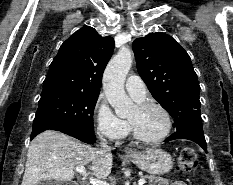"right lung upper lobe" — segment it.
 <instances>
[{
    "label": "right lung upper lobe",
    "mask_w": 233,
    "mask_h": 185,
    "mask_svg": "<svg viewBox=\"0 0 233 185\" xmlns=\"http://www.w3.org/2000/svg\"><path fill=\"white\" fill-rule=\"evenodd\" d=\"M114 39L85 26L71 35L50 64L43 90L86 94L100 92L104 69L112 56Z\"/></svg>",
    "instance_id": "cb5924a9"
}]
</instances>
